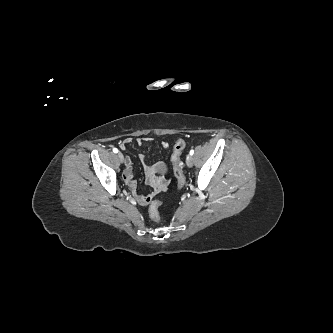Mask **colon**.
<instances>
[{
  "instance_id": "5ec220e1",
  "label": "colon",
  "mask_w": 333,
  "mask_h": 333,
  "mask_svg": "<svg viewBox=\"0 0 333 333\" xmlns=\"http://www.w3.org/2000/svg\"><path fill=\"white\" fill-rule=\"evenodd\" d=\"M186 147V142L183 139H179L175 142L173 146V152L171 155V161L173 165L174 176L176 178L177 187L181 190L185 184V175L183 172V166L181 162V154ZM162 206V202L159 200H154L150 203L148 207V212L150 218L154 222L160 221V207Z\"/></svg>"
}]
</instances>
